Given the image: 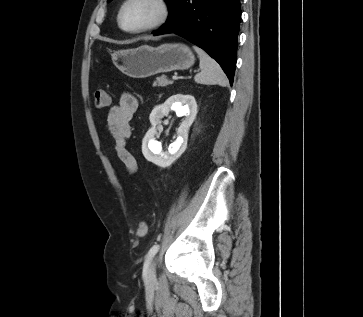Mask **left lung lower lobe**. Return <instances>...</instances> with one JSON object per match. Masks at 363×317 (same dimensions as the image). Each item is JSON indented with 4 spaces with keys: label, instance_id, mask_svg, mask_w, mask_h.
<instances>
[{
    "label": "left lung lower lobe",
    "instance_id": "left-lung-lower-lobe-1",
    "mask_svg": "<svg viewBox=\"0 0 363 317\" xmlns=\"http://www.w3.org/2000/svg\"><path fill=\"white\" fill-rule=\"evenodd\" d=\"M167 22L153 35L175 33L206 50L233 83L240 0H172Z\"/></svg>",
    "mask_w": 363,
    "mask_h": 317
}]
</instances>
